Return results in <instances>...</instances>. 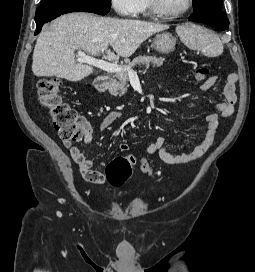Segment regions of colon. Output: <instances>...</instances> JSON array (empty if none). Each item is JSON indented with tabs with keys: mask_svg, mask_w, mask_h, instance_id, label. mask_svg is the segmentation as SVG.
Segmentation results:
<instances>
[{
	"mask_svg": "<svg viewBox=\"0 0 255 272\" xmlns=\"http://www.w3.org/2000/svg\"><path fill=\"white\" fill-rule=\"evenodd\" d=\"M209 74L206 67H199L195 71V79L204 81ZM63 83L57 77L41 79L37 85L39 103L48 112L52 126L64 142L78 140L83 134V127L77 113L62 100L61 89ZM138 165L141 171L152 175L150 164L144 158L134 156H119L114 158L106 168L108 182L115 186H122L131 176L132 169Z\"/></svg>",
	"mask_w": 255,
	"mask_h": 272,
	"instance_id": "1",
	"label": "colon"
}]
</instances>
